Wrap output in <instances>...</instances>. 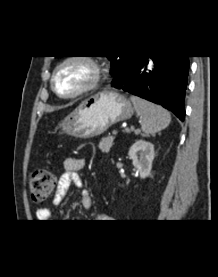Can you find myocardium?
<instances>
[{"instance_id":"1","label":"myocardium","mask_w":218,"mask_h":277,"mask_svg":"<svg viewBox=\"0 0 218 277\" xmlns=\"http://www.w3.org/2000/svg\"><path fill=\"white\" fill-rule=\"evenodd\" d=\"M76 64L85 67L88 71V77L85 83L75 92L62 94L57 90L56 78L58 74L67 66ZM102 80V69L99 63L92 57L70 56L64 58L53 69L51 77V88L53 92L62 99H74L98 87Z\"/></svg>"}]
</instances>
